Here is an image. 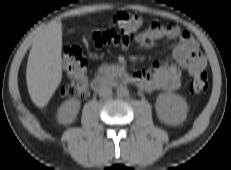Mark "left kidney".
I'll use <instances>...</instances> for the list:
<instances>
[{
	"label": "left kidney",
	"instance_id": "5707ae66",
	"mask_svg": "<svg viewBox=\"0 0 231 170\" xmlns=\"http://www.w3.org/2000/svg\"><path fill=\"white\" fill-rule=\"evenodd\" d=\"M158 118L168 125L181 124L187 116L188 106L179 95L160 94L155 104Z\"/></svg>",
	"mask_w": 231,
	"mask_h": 170
}]
</instances>
